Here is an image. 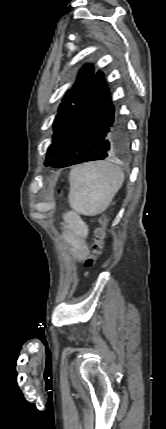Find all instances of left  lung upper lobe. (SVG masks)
<instances>
[{"instance_id":"5c2ea615","label":"left lung upper lobe","mask_w":166,"mask_h":429,"mask_svg":"<svg viewBox=\"0 0 166 429\" xmlns=\"http://www.w3.org/2000/svg\"><path fill=\"white\" fill-rule=\"evenodd\" d=\"M92 73H93V67L91 65H85L81 69L79 76L76 79V82L73 85L72 89H69L66 92L65 97L63 98V101L60 104V107L58 109V114L56 115L53 123V131H54L53 140H52V144L49 146L47 150V155H46L44 164H46L55 153L56 148L60 143L63 133L67 127L71 112L75 104L77 103L78 99L84 92L92 76Z\"/></svg>"}]
</instances>
